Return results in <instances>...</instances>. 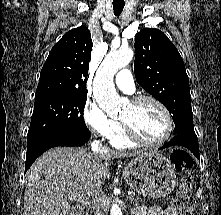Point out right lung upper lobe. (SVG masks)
<instances>
[{
    "instance_id": "right-lung-upper-lobe-1",
    "label": "right lung upper lobe",
    "mask_w": 221,
    "mask_h": 215,
    "mask_svg": "<svg viewBox=\"0 0 221 215\" xmlns=\"http://www.w3.org/2000/svg\"><path fill=\"white\" fill-rule=\"evenodd\" d=\"M92 40L86 26L67 32L51 49L42 67L35 101L58 95H87Z\"/></svg>"
}]
</instances>
